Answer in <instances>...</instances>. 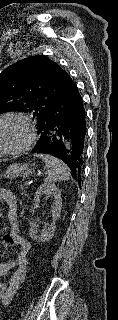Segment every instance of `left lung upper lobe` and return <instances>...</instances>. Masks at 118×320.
Wrapping results in <instances>:
<instances>
[{"mask_svg": "<svg viewBox=\"0 0 118 320\" xmlns=\"http://www.w3.org/2000/svg\"><path fill=\"white\" fill-rule=\"evenodd\" d=\"M70 82L68 74L49 58H25L0 74V113L25 112L38 121L65 93Z\"/></svg>", "mask_w": 118, "mask_h": 320, "instance_id": "5c2ea615", "label": "left lung upper lobe"}]
</instances>
